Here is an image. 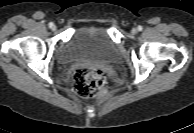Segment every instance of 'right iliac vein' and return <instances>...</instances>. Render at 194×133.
<instances>
[{
	"label": "right iliac vein",
	"instance_id": "63e3f726",
	"mask_svg": "<svg viewBox=\"0 0 194 133\" xmlns=\"http://www.w3.org/2000/svg\"><path fill=\"white\" fill-rule=\"evenodd\" d=\"M51 29H52L53 31H55V30H56V26L53 25V26L51 27Z\"/></svg>",
	"mask_w": 194,
	"mask_h": 133
}]
</instances>
